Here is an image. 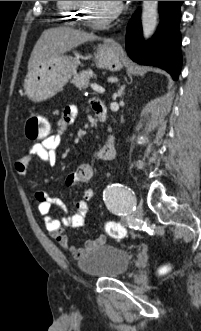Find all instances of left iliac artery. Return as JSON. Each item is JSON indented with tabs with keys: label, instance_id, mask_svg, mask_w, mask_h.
Segmentation results:
<instances>
[{
	"label": "left iliac artery",
	"instance_id": "left-iliac-artery-1",
	"mask_svg": "<svg viewBox=\"0 0 201 331\" xmlns=\"http://www.w3.org/2000/svg\"><path fill=\"white\" fill-rule=\"evenodd\" d=\"M103 199L110 212L124 219H127L136 207L133 190L122 184L108 186L103 192Z\"/></svg>",
	"mask_w": 201,
	"mask_h": 331
}]
</instances>
